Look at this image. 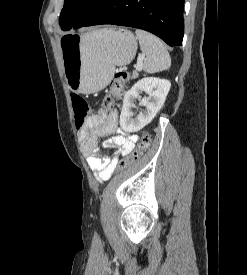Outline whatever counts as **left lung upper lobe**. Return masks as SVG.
<instances>
[{"instance_id": "1", "label": "left lung upper lobe", "mask_w": 247, "mask_h": 275, "mask_svg": "<svg viewBox=\"0 0 247 275\" xmlns=\"http://www.w3.org/2000/svg\"><path fill=\"white\" fill-rule=\"evenodd\" d=\"M106 0H65L59 23L64 31L84 25Z\"/></svg>"}]
</instances>
